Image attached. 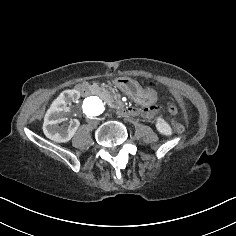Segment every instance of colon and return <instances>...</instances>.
<instances>
[{"mask_svg":"<svg viewBox=\"0 0 236 236\" xmlns=\"http://www.w3.org/2000/svg\"><path fill=\"white\" fill-rule=\"evenodd\" d=\"M168 112L170 113L171 117H172V129L175 132H182L184 127L181 123H179L177 121V116L179 113V107L177 106V104L175 103H169L167 106Z\"/></svg>","mask_w":236,"mask_h":236,"instance_id":"colon-1","label":"colon"}]
</instances>
